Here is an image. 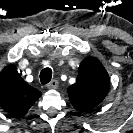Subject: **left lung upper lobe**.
<instances>
[{"label": "left lung upper lobe", "instance_id": "obj_1", "mask_svg": "<svg viewBox=\"0 0 133 133\" xmlns=\"http://www.w3.org/2000/svg\"><path fill=\"white\" fill-rule=\"evenodd\" d=\"M109 87V75L104 66L97 58L88 57L81 62L77 81L68 88V95L76 110L87 112L103 101Z\"/></svg>", "mask_w": 133, "mask_h": 133}]
</instances>
